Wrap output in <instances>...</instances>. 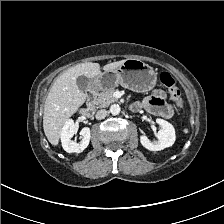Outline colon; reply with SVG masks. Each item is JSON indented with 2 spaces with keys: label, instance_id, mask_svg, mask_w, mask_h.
I'll use <instances>...</instances> for the list:
<instances>
[{
  "label": "colon",
  "instance_id": "1",
  "mask_svg": "<svg viewBox=\"0 0 224 224\" xmlns=\"http://www.w3.org/2000/svg\"><path fill=\"white\" fill-rule=\"evenodd\" d=\"M161 83L168 89L171 98L177 103L179 107L184 106L181 96V91L176 84L174 77L168 72H162L160 75Z\"/></svg>",
  "mask_w": 224,
  "mask_h": 224
}]
</instances>
